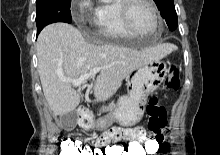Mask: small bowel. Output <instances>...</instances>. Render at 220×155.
Masks as SVG:
<instances>
[{"label":"small bowel","mask_w":220,"mask_h":155,"mask_svg":"<svg viewBox=\"0 0 220 155\" xmlns=\"http://www.w3.org/2000/svg\"><path fill=\"white\" fill-rule=\"evenodd\" d=\"M111 129L112 130H105V133H101V136H99V138L95 141V144H117V141H135L136 139H147L146 132L141 126H112ZM127 131L129 133H127Z\"/></svg>","instance_id":"1"}]
</instances>
